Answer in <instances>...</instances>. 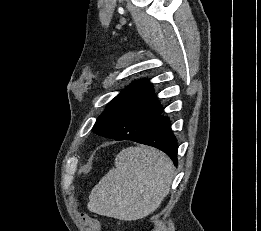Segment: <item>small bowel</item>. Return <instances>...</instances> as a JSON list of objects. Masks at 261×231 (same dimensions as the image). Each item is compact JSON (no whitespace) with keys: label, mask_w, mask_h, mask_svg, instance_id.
Wrapping results in <instances>:
<instances>
[{"label":"small bowel","mask_w":261,"mask_h":231,"mask_svg":"<svg viewBox=\"0 0 261 231\" xmlns=\"http://www.w3.org/2000/svg\"><path fill=\"white\" fill-rule=\"evenodd\" d=\"M90 224H91V226H89V228H88L90 231H98L99 228L97 227L94 220H90Z\"/></svg>","instance_id":"obj_1"}]
</instances>
